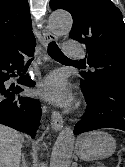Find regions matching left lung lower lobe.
<instances>
[{
  "mask_svg": "<svg viewBox=\"0 0 125 167\" xmlns=\"http://www.w3.org/2000/svg\"><path fill=\"white\" fill-rule=\"evenodd\" d=\"M85 117L76 124L74 134L116 128L125 131V82L101 83L92 93L84 92Z\"/></svg>",
  "mask_w": 125,
  "mask_h": 167,
  "instance_id": "left-lung-lower-lobe-1",
  "label": "left lung lower lobe"
}]
</instances>
